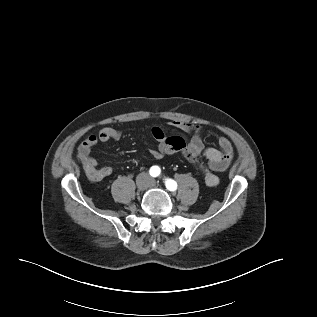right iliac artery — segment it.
<instances>
[{
	"label": "right iliac artery",
	"mask_w": 317,
	"mask_h": 317,
	"mask_svg": "<svg viewBox=\"0 0 317 317\" xmlns=\"http://www.w3.org/2000/svg\"><path fill=\"white\" fill-rule=\"evenodd\" d=\"M149 173L152 177H157L160 174V169L158 166H153L150 168Z\"/></svg>",
	"instance_id": "1"
}]
</instances>
